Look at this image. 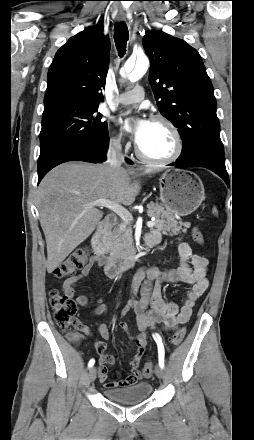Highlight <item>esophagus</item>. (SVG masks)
<instances>
[{
  "mask_svg": "<svg viewBox=\"0 0 254 440\" xmlns=\"http://www.w3.org/2000/svg\"><path fill=\"white\" fill-rule=\"evenodd\" d=\"M117 20L120 21V22L121 21H125L126 20V16L125 15H118L117 16Z\"/></svg>",
  "mask_w": 254,
  "mask_h": 440,
  "instance_id": "esophagus-1",
  "label": "esophagus"
}]
</instances>
